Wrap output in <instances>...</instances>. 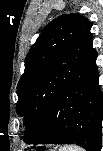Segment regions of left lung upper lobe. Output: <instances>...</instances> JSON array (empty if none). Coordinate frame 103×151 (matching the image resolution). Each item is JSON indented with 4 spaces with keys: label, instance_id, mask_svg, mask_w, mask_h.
<instances>
[{
    "label": "left lung upper lobe",
    "instance_id": "5c2ea615",
    "mask_svg": "<svg viewBox=\"0 0 103 151\" xmlns=\"http://www.w3.org/2000/svg\"><path fill=\"white\" fill-rule=\"evenodd\" d=\"M92 25L84 16L73 13L61 15L42 30L25 58V70L17 85L16 111L19 115L24 116L27 112L32 80L88 32ZM54 72L53 78L56 75Z\"/></svg>",
    "mask_w": 103,
    "mask_h": 151
}]
</instances>
